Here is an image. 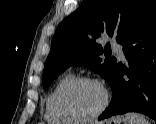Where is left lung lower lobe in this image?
Wrapping results in <instances>:
<instances>
[{"label":"left lung lower lobe","mask_w":156,"mask_h":124,"mask_svg":"<svg viewBox=\"0 0 156 124\" xmlns=\"http://www.w3.org/2000/svg\"><path fill=\"white\" fill-rule=\"evenodd\" d=\"M129 70L119 63L110 81L112 100L98 120L140 112L156 120V0L123 43ZM127 75L129 80H124Z\"/></svg>","instance_id":"left-lung-lower-lobe-1"}]
</instances>
